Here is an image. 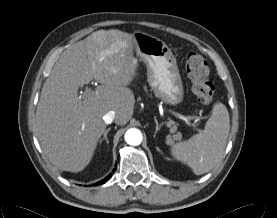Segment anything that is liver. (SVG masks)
I'll return each mask as SVG.
<instances>
[{
  "mask_svg": "<svg viewBox=\"0 0 277 218\" xmlns=\"http://www.w3.org/2000/svg\"><path fill=\"white\" fill-rule=\"evenodd\" d=\"M136 40L120 30H98L67 48L43 84L36 110V136L57 168L82 171L105 133L103 116L116 112L115 123L126 124L135 99L127 86L137 75ZM95 79L101 85L78 89Z\"/></svg>",
  "mask_w": 277,
  "mask_h": 218,
  "instance_id": "liver-1",
  "label": "liver"
}]
</instances>
